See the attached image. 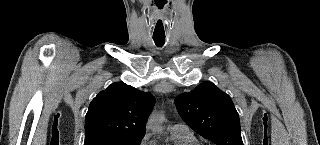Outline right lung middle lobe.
Instances as JSON below:
<instances>
[{
    "label": "right lung middle lobe",
    "instance_id": "obj_1",
    "mask_svg": "<svg viewBox=\"0 0 320 145\" xmlns=\"http://www.w3.org/2000/svg\"><path fill=\"white\" fill-rule=\"evenodd\" d=\"M141 140H142V138H138V139L106 138V139L92 141V142L84 144V145H140Z\"/></svg>",
    "mask_w": 320,
    "mask_h": 145
}]
</instances>
